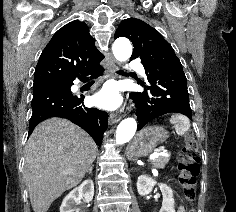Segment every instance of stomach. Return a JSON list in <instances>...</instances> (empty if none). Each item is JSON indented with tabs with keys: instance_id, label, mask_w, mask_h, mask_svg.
<instances>
[{
	"instance_id": "0dacf381",
	"label": "stomach",
	"mask_w": 236,
	"mask_h": 212,
	"mask_svg": "<svg viewBox=\"0 0 236 212\" xmlns=\"http://www.w3.org/2000/svg\"><path fill=\"white\" fill-rule=\"evenodd\" d=\"M168 138V132L160 126H150L142 129L133 139L128 148L130 158L146 156L154 148Z\"/></svg>"
}]
</instances>
